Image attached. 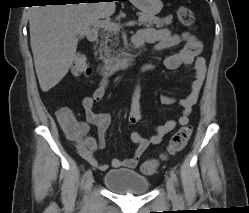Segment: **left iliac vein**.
Masks as SVG:
<instances>
[{
  "mask_svg": "<svg viewBox=\"0 0 249 213\" xmlns=\"http://www.w3.org/2000/svg\"><path fill=\"white\" fill-rule=\"evenodd\" d=\"M166 189L170 197L175 196L174 183L171 177H166Z\"/></svg>",
  "mask_w": 249,
  "mask_h": 213,
  "instance_id": "left-iliac-vein-1",
  "label": "left iliac vein"
}]
</instances>
